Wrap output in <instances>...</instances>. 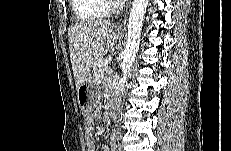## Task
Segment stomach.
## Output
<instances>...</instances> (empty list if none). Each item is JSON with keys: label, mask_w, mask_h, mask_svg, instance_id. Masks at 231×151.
<instances>
[{"label": "stomach", "mask_w": 231, "mask_h": 151, "mask_svg": "<svg viewBox=\"0 0 231 151\" xmlns=\"http://www.w3.org/2000/svg\"><path fill=\"white\" fill-rule=\"evenodd\" d=\"M115 37H120L121 32L116 30ZM100 86L94 76L89 74L77 89L78 104L82 112L89 114L97 106L100 99Z\"/></svg>", "instance_id": "1"}]
</instances>
